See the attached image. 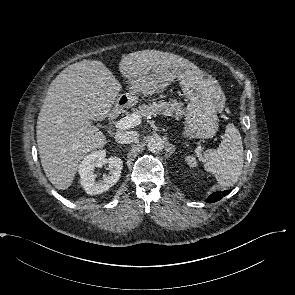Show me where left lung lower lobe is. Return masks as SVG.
Returning <instances> with one entry per match:
<instances>
[{
    "mask_svg": "<svg viewBox=\"0 0 295 295\" xmlns=\"http://www.w3.org/2000/svg\"><path fill=\"white\" fill-rule=\"evenodd\" d=\"M230 192H231V190H227L224 192H215L208 197L207 202L213 203V202L219 201L220 199H222V197L226 196Z\"/></svg>",
    "mask_w": 295,
    "mask_h": 295,
    "instance_id": "left-lung-lower-lobe-1",
    "label": "left lung lower lobe"
}]
</instances>
